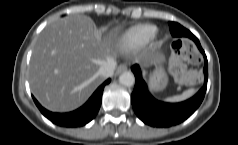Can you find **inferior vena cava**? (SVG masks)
<instances>
[{"label":"inferior vena cava","mask_w":238,"mask_h":145,"mask_svg":"<svg viewBox=\"0 0 238 145\" xmlns=\"http://www.w3.org/2000/svg\"><path fill=\"white\" fill-rule=\"evenodd\" d=\"M116 67V62L115 61H109L104 63L100 68H99V74L105 78L111 77L114 74V70Z\"/></svg>","instance_id":"602c4592"}]
</instances>
